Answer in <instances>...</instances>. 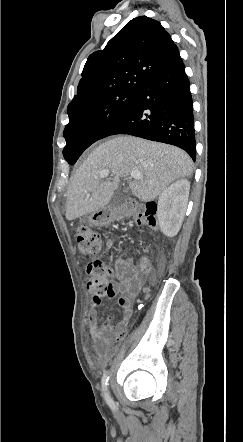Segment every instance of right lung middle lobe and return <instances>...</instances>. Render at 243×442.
<instances>
[{"mask_svg": "<svg viewBox=\"0 0 243 442\" xmlns=\"http://www.w3.org/2000/svg\"><path fill=\"white\" fill-rule=\"evenodd\" d=\"M137 92L114 93L73 111L63 132L67 143L63 150L65 160L74 164L85 149L101 139L104 130L125 111Z\"/></svg>", "mask_w": 243, "mask_h": 442, "instance_id": "right-lung-middle-lobe-1", "label": "right lung middle lobe"}]
</instances>
